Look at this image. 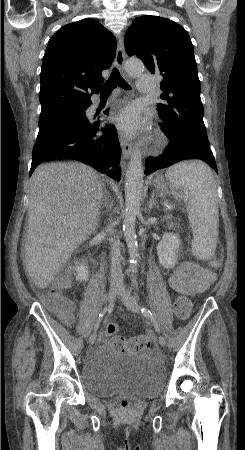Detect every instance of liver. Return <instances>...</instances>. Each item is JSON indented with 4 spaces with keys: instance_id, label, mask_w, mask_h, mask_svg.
<instances>
[{
    "instance_id": "obj_1",
    "label": "liver",
    "mask_w": 245,
    "mask_h": 450,
    "mask_svg": "<svg viewBox=\"0 0 245 450\" xmlns=\"http://www.w3.org/2000/svg\"><path fill=\"white\" fill-rule=\"evenodd\" d=\"M103 184L89 166L40 165L31 178L24 247L26 269L46 288L98 226Z\"/></svg>"
}]
</instances>
